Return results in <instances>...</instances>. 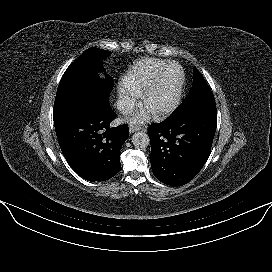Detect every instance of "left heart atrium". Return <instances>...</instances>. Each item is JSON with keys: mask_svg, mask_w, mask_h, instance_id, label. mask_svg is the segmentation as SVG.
<instances>
[{"mask_svg": "<svg viewBox=\"0 0 272 272\" xmlns=\"http://www.w3.org/2000/svg\"><path fill=\"white\" fill-rule=\"evenodd\" d=\"M153 112L146 106L138 110L131 118L135 123H141L148 120Z\"/></svg>", "mask_w": 272, "mask_h": 272, "instance_id": "1", "label": "left heart atrium"}]
</instances>
